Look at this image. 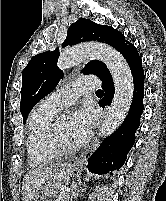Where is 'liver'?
I'll return each mask as SVG.
<instances>
[{
  "mask_svg": "<svg viewBox=\"0 0 166 201\" xmlns=\"http://www.w3.org/2000/svg\"><path fill=\"white\" fill-rule=\"evenodd\" d=\"M68 164L40 167L29 171L22 182V201H38L42 187L55 173Z\"/></svg>",
  "mask_w": 166,
  "mask_h": 201,
  "instance_id": "6515ba94",
  "label": "liver"
}]
</instances>
